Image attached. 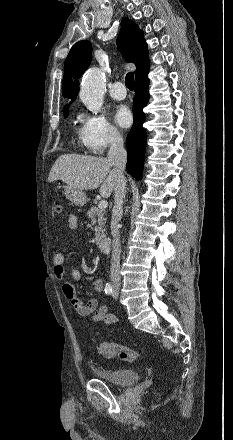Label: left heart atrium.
Returning a JSON list of instances; mask_svg holds the SVG:
<instances>
[{
  "label": "left heart atrium",
  "instance_id": "1",
  "mask_svg": "<svg viewBox=\"0 0 233 440\" xmlns=\"http://www.w3.org/2000/svg\"><path fill=\"white\" fill-rule=\"evenodd\" d=\"M114 120L116 124L122 128H126L132 123V114L129 108L125 105H119L114 112Z\"/></svg>",
  "mask_w": 233,
  "mask_h": 440
}]
</instances>
